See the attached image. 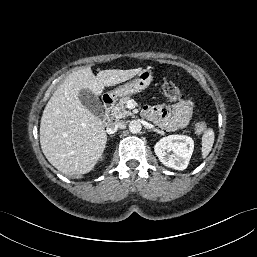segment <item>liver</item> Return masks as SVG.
<instances>
[{
  "label": "liver",
  "instance_id": "obj_1",
  "mask_svg": "<svg viewBox=\"0 0 257 257\" xmlns=\"http://www.w3.org/2000/svg\"><path fill=\"white\" fill-rule=\"evenodd\" d=\"M141 70L108 69L95 76L85 67L66 77L48 101L40 123L42 152L56 169L67 176L86 174L106 146L105 125L82 105L80 91L99 96L105 87L129 80Z\"/></svg>",
  "mask_w": 257,
  "mask_h": 257
}]
</instances>
